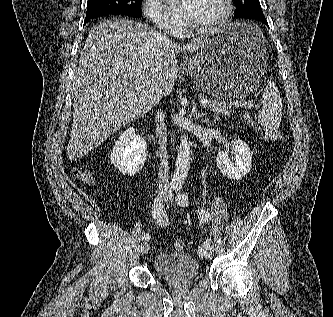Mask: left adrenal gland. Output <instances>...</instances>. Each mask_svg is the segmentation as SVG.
Instances as JSON below:
<instances>
[{
  "label": "left adrenal gland",
  "instance_id": "1",
  "mask_svg": "<svg viewBox=\"0 0 333 317\" xmlns=\"http://www.w3.org/2000/svg\"><path fill=\"white\" fill-rule=\"evenodd\" d=\"M204 116H207V113L198 112V111H195V113H194L195 119H199V118L204 117Z\"/></svg>",
  "mask_w": 333,
  "mask_h": 317
}]
</instances>
